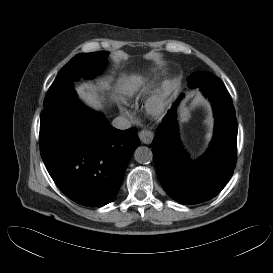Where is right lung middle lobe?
Instances as JSON below:
<instances>
[{
	"instance_id": "dd1d6c3e",
	"label": "right lung middle lobe",
	"mask_w": 273,
	"mask_h": 273,
	"mask_svg": "<svg viewBox=\"0 0 273 273\" xmlns=\"http://www.w3.org/2000/svg\"><path fill=\"white\" fill-rule=\"evenodd\" d=\"M107 52L81 53L73 57L60 71L55 82L48 90L44 99V106L57 96L72 90L75 80L80 77H92L101 72L107 65Z\"/></svg>"
}]
</instances>
